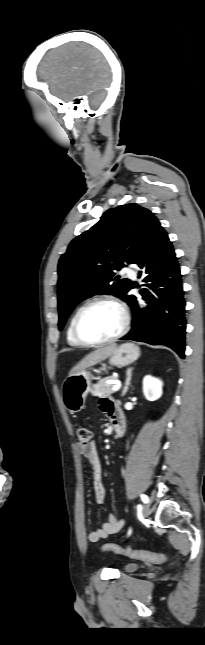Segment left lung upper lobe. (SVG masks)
<instances>
[{
	"label": "left lung upper lobe",
	"mask_w": 205,
	"mask_h": 645,
	"mask_svg": "<svg viewBox=\"0 0 205 645\" xmlns=\"http://www.w3.org/2000/svg\"><path fill=\"white\" fill-rule=\"evenodd\" d=\"M154 214L135 203L107 210L88 231L71 241L58 264V310L61 330L71 311L81 301L113 293L125 297L129 279L114 277L115 271L132 263L139 242Z\"/></svg>",
	"instance_id": "obj_1"
}]
</instances>
